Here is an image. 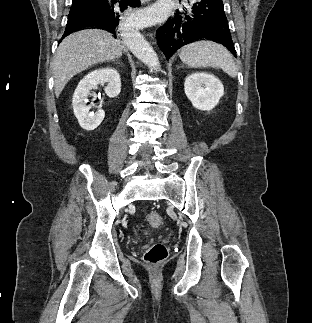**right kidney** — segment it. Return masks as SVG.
<instances>
[{"instance_id":"ca27d5eb","label":"right kidney","mask_w":312,"mask_h":323,"mask_svg":"<svg viewBox=\"0 0 312 323\" xmlns=\"http://www.w3.org/2000/svg\"><path fill=\"white\" fill-rule=\"evenodd\" d=\"M104 86V92L109 98H116L120 94L121 80L115 68H101V70H94L84 76L80 80L72 100L74 114L83 130H95L100 126L105 118L104 110H97V112H89L94 104L87 106L91 90H97L98 86Z\"/></svg>"}]
</instances>
